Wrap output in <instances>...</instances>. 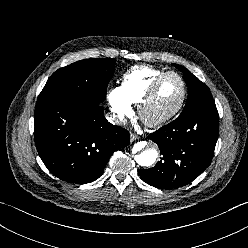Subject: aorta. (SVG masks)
I'll list each match as a JSON object with an SVG mask.
<instances>
[{"label":"aorta","instance_id":"1","mask_svg":"<svg viewBox=\"0 0 248 248\" xmlns=\"http://www.w3.org/2000/svg\"><path fill=\"white\" fill-rule=\"evenodd\" d=\"M147 146V142L140 141L133 147L134 159L140 166H151L158 157V151L155 148H146Z\"/></svg>","mask_w":248,"mask_h":248}]
</instances>
